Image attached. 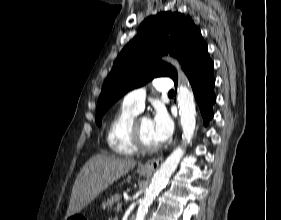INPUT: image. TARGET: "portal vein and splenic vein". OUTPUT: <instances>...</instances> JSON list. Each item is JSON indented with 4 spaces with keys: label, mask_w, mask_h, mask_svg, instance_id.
<instances>
[{
    "label": "portal vein and splenic vein",
    "mask_w": 281,
    "mask_h": 220,
    "mask_svg": "<svg viewBox=\"0 0 281 220\" xmlns=\"http://www.w3.org/2000/svg\"><path fill=\"white\" fill-rule=\"evenodd\" d=\"M121 206H122V204H121V202L119 201L118 204H117V209H116L117 212H119V210L121 209Z\"/></svg>",
    "instance_id": "portal-vein-and-splenic-vein-1"
}]
</instances>
